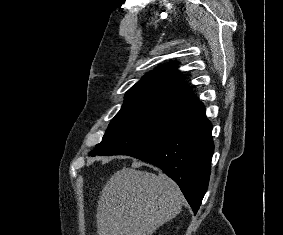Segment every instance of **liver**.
Wrapping results in <instances>:
<instances>
[{"instance_id":"1","label":"liver","mask_w":283,"mask_h":235,"mask_svg":"<svg viewBox=\"0 0 283 235\" xmlns=\"http://www.w3.org/2000/svg\"><path fill=\"white\" fill-rule=\"evenodd\" d=\"M181 209V191L172 179L164 174L123 168L102 189L96 214L97 233L152 235Z\"/></svg>"}]
</instances>
